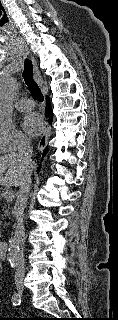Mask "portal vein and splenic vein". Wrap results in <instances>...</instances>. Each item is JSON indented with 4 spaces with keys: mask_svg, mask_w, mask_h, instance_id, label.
Masks as SVG:
<instances>
[{
    "mask_svg": "<svg viewBox=\"0 0 118 320\" xmlns=\"http://www.w3.org/2000/svg\"><path fill=\"white\" fill-rule=\"evenodd\" d=\"M2 197L5 198L6 200H10L14 197V193L12 190L6 189L5 191L2 192Z\"/></svg>",
    "mask_w": 118,
    "mask_h": 320,
    "instance_id": "1",
    "label": "portal vein and splenic vein"
}]
</instances>
